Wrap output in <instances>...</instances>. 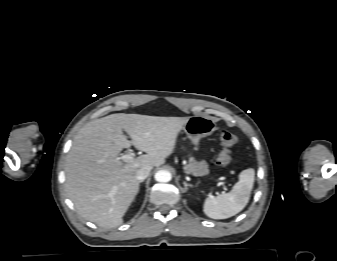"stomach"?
I'll return each mask as SVG.
<instances>
[{
	"label": "stomach",
	"mask_w": 337,
	"mask_h": 261,
	"mask_svg": "<svg viewBox=\"0 0 337 261\" xmlns=\"http://www.w3.org/2000/svg\"><path fill=\"white\" fill-rule=\"evenodd\" d=\"M215 129L214 120L207 116H192L183 127L187 137L195 145H198L202 138L210 136Z\"/></svg>",
	"instance_id": "1"
}]
</instances>
